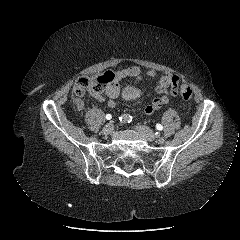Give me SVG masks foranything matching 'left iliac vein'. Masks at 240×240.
<instances>
[{"mask_svg": "<svg viewBox=\"0 0 240 240\" xmlns=\"http://www.w3.org/2000/svg\"><path fill=\"white\" fill-rule=\"evenodd\" d=\"M136 129L147 141L152 142L157 138V135L147 126L138 125Z\"/></svg>", "mask_w": 240, "mask_h": 240, "instance_id": "4c4485c4", "label": "left iliac vein"}]
</instances>
